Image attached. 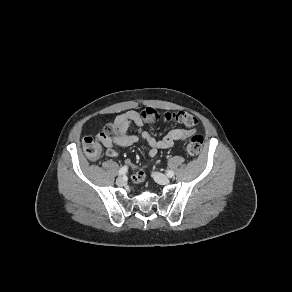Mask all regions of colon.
<instances>
[{"mask_svg": "<svg viewBox=\"0 0 292 292\" xmlns=\"http://www.w3.org/2000/svg\"><path fill=\"white\" fill-rule=\"evenodd\" d=\"M141 116L145 122L153 123L161 119L175 120L187 126H194L196 124L195 118L187 112L178 111L174 113H159L158 111L147 108L141 112ZM117 133V129L113 124H107L96 137H86L82 141L83 150L86 156L95 161L102 155L101 137L111 136ZM203 146V137L201 135H194L185 145V150L190 156H197L200 154Z\"/></svg>", "mask_w": 292, "mask_h": 292, "instance_id": "5ec220e1", "label": "colon"}]
</instances>
